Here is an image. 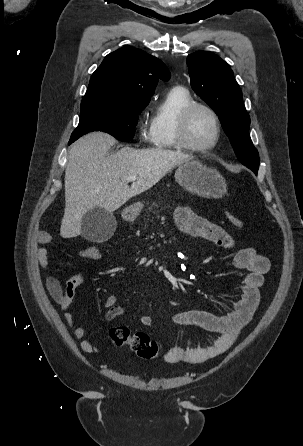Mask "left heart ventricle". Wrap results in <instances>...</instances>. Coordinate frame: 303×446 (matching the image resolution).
I'll return each instance as SVG.
<instances>
[{"mask_svg":"<svg viewBox=\"0 0 303 446\" xmlns=\"http://www.w3.org/2000/svg\"><path fill=\"white\" fill-rule=\"evenodd\" d=\"M215 136V126L211 116L202 109L195 110L188 123V139L195 146L210 144Z\"/></svg>","mask_w":303,"mask_h":446,"instance_id":"b2bd125f","label":"left heart ventricle"}]
</instances>
